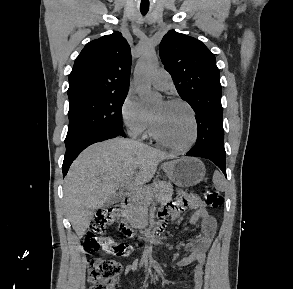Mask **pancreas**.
<instances>
[{
    "label": "pancreas",
    "instance_id": "cf45deb5",
    "mask_svg": "<svg viewBox=\"0 0 293 289\" xmlns=\"http://www.w3.org/2000/svg\"><path fill=\"white\" fill-rule=\"evenodd\" d=\"M153 193L162 201L172 197L173 186L169 182H158L146 188L144 192L133 194L125 209V215L132 227L144 228L148 224V207Z\"/></svg>",
    "mask_w": 293,
    "mask_h": 289
}]
</instances>
